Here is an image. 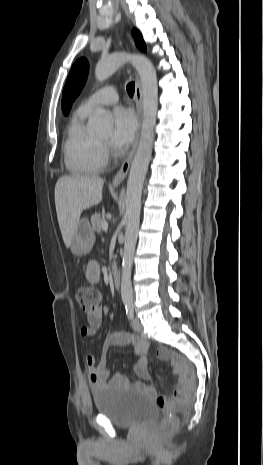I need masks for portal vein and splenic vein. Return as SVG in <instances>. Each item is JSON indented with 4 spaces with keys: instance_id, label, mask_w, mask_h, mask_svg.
I'll return each mask as SVG.
<instances>
[{
    "instance_id": "1",
    "label": "portal vein and splenic vein",
    "mask_w": 263,
    "mask_h": 465,
    "mask_svg": "<svg viewBox=\"0 0 263 465\" xmlns=\"http://www.w3.org/2000/svg\"><path fill=\"white\" fill-rule=\"evenodd\" d=\"M102 230L106 231L108 229V223L107 221H102L101 223Z\"/></svg>"
}]
</instances>
